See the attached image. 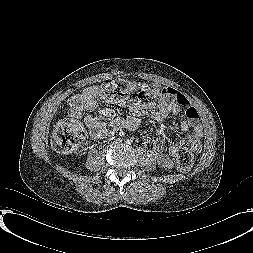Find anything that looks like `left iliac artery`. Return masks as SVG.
I'll list each match as a JSON object with an SVG mask.
<instances>
[{"label": "left iliac artery", "mask_w": 253, "mask_h": 253, "mask_svg": "<svg viewBox=\"0 0 253 253\" xmlns=\"http://www.w3.org/2000/svg\"><path fill=\"white\" fill-rule=\"evenodd\" d=\"M131 142H132L131 140H127V141H126V143H127L128 145H130Z\"/></svg>", "instance_id": "1"}]
</instances>
